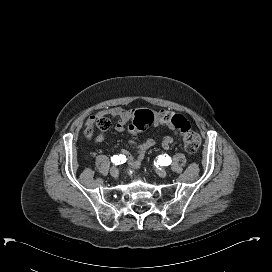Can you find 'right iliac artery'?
I'll return each instance as SVG.
<instances>
[{"label":"right iliac artery","instance_id":"obj_1","mask_svg":"<svg viewBox=\"0 0 272 272\" xmlns=\"http://www.w3.org/2000/svg\"><path fill=\"white\" fill-rule=\"evenodd\" d=\"M111 161L113 162L114 165L123 164L126 161V156L114 155L113 157H111Z\"/></svg>","mask_w":272,"mask_h":272}]
</instances>
